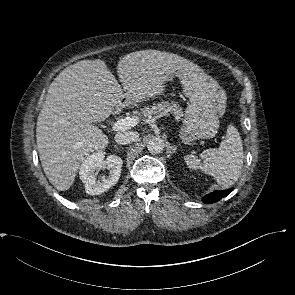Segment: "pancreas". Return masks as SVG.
<instances>
[{
	"label": "pancreas",
	"instance_id": "obj_1",
	"mask_svg": "<svg viewBox=\"0 0 295 295\" xmlns=\"http://www.w3.org/2000/svg\"><path fill=\"white\" fill-rule=\"evenodd\" d=\"M173 113L176 118H180L183 115L182 109L179 107V104L176 102H162L153 104L150 107H144L142 109V114L147 117L149 115L163 114L167 115Z\"/></svg>",
	"mask_w": 295,
	"mask_h": 295
}]
</instances>
